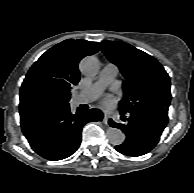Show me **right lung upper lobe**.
<instances>
[{
	"label": "right lung upper lobe",
	"instance_id": "cb5924a9",
	"mask_svg": "<svg viewBox=\"0 0 194 193\" xmlns=\"http://www.w3.org/2000/svg\"><path fill=\"white\" fill-rule=\"evenodd\" d=\"M99 49V43L81 39L65 40L50 48L29 69L21 86L19 109L33 108L42 99L70 97L72 86L80 80L78 63Z\"/></svg>",
	"mask_w": 194,
	"mask_h": 193
}]
</instances>
